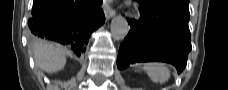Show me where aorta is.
<instances>
[{"mask_svg": "<svg viewBox=\"0 0 228 90\" xmlns=\"http://www.w3.org/2000/svg\"><path fill=\"white\" fill-rule=\"evenodd\" d=\"M129 32L126 19L122 16L115 17L111 22V34L114 40H123Z\"/></svg>", "mask_w": 228, "mask_h": 90, "instance_id": "aorta-1", "label": "aorta"}]
</instances>
